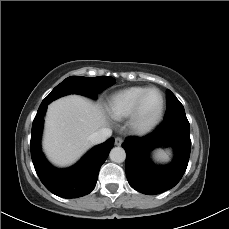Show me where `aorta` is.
Listing matches in <instances>:
<instances>
[{
    "mask_svg": "<svg viewBox=\"0 0 229 229\" xmlns=\"http://www.w3.org/2000/svg\"><path fill=\"white\" fill-rule=\"evenodd\" d=\"M126 153L121 147H115L110 151V159L115 163H122L125 161Z\"/></svg>",
    "mask_w": 229,
    "mask_h": 229,
    "instance_id": "762f6f07",
    "label": "aorta"
}]
</instances>
